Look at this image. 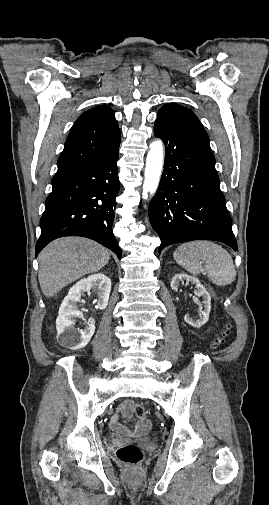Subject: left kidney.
Returning <instances> with one entry per match:
<instances>
[{
    "instance_id": "left-kidney-1",
    "label": "left kidney",
    "mask_w": 269,
    "mask_h": 505,
    "mask_svg": "<svg viewBox=\"0 0 269 505\" xmlns=\"http://www.w3.org/2000/svg\"><path fill=\"white\" fill-rule=\"evenodd\" d=\"M184 281H186V283L190 282V283L194 284L195 288H196L194 291L195 294L198 297L203 298L199 319L195 320L194 318L190 317L189 314H186L184 317V320L186 323H188L192 327L200 328L209 319V314H210V310H211V296L208 293V291L206 290V288L200 283L198 278H196L195 276H189L185 273H179V274H176L175 276H173V278L171 280V288L174 291H178L179 284L183 283ZM202 305H203L204 309L202 308Z\"/></svg>"
}]
</instances>
